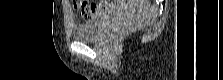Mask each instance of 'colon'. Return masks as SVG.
I'll return each mask as SVG.
<instances>
[{
  "label": "colon",
  "mask_w": 223,
  "mask_h": 80,
  "mask_svg": "<svg viewBox=\"0 0 223 80\" xmlns=\"http://www.w3.org/2000/svg\"><path fill=\"white\" fill-rule=\"evenodd\" d=\"M98 3L100 2L75 1L74 5L82 16L87 17L95 11Z\"/></svg>",
  "instance_id": "obj_1"
}]
</instances>
